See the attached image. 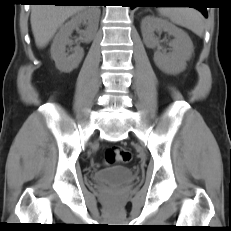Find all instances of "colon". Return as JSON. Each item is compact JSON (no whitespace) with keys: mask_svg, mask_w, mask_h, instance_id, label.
<instances>
[{"mask_svg":"<svg viewBox=\"0 0 231 231\" xmlns=\"http://www.w3.org/2000/svg\"><path fill=\"white\" fill-rule=\"evenodd\" d=\"M130 161L131 153L120 146L110 147L105 153V162L108 165H113L116 163H128Z\"/></svg>","mask_w":231,"mask_h":231,"instance_id":"obj_1","label":"colon"}]
</instances>
